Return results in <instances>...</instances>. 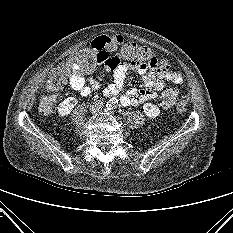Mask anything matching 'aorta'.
Instances as JSON below:
<instances>
[{"label":"aorta","mask_w":233,"mask_h":233,"mask_svg":"<svg viewBox=\"0 0 233 233\" xmlns=\"http://www.w3.org/2000/svg\"><path fill=\"white\" fill-rule=\"evenodd\" d=\"M116 104H117V100H116L115 98H111V99L108 101V103H107V105H108L109 108H114V107H116Z\"/></svg>","instance_id":"1"}]
</instances>
